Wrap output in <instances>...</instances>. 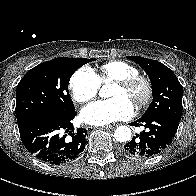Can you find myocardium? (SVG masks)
I'll return each mask as SVG.
<instances>
[{
    "label": "myocardium",
    "instance_id": "myocardium-1",
    "mask_svg": "<svg viewBox=\"0 0 196 196\" xmlns=\"http://www.w3.org/2000/svg\"><path fill=\"white\" fill-rule=\"evenodd\" d=\"M114 84L125 89H130L137 85L143 86L144 94L142 98L135 104L138 109L146 107L153 97V84L150 78H148L147 76L136 74L133 76L115 80Z\"/></svg>",
    "mask_w": 196,
    "mask_h": 196
}]
</instances>
